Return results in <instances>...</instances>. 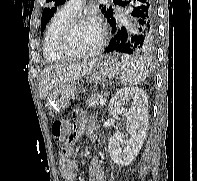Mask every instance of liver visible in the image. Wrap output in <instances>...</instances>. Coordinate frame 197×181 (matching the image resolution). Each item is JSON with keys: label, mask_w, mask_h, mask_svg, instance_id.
Instances as JSON below:
<instances>
[{"label": "liver", "mask_w": 197, "mask_h": 181, "mask_svg": "<svg viewBox=\"0 0 197 181\" xmlns=\"http://www.w3.org/2000/svg\"><path fill=\"white\" fill-rule=\"evenodd\" d=\"M93 61L87 63L59 64L45 69L39 80V97L45 99L48 93L64 82H73L87 75Z\"/></svg>", "instance_id": "1"}]
</instances>
